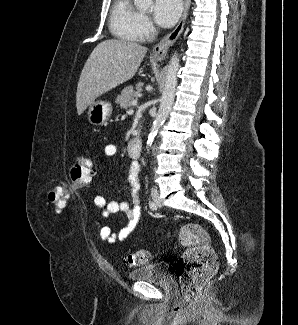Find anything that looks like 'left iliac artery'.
<instances>
[{
  "instance_id": "obj_1",
  "label": "left iliac artery",
  "mask_w": 298,
  "mask_h": 325,
  "mask_svg": "<svg viewBox=\"0 0 298 325\" xmlns=\"http://www.w3.org/2000/svg\"><path fill=\"white\" fill-rule=\"evenodd\" d=\"M148 187V179H147V177H146V188ZM149 207H150V209H152V210H156L157 209V206L155 205V203L154 202H152V201H149Z\"/></svg>"
}]
</instances>
